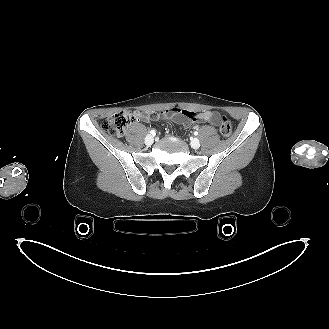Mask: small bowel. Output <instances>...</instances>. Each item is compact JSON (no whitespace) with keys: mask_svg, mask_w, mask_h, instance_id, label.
<instances>
[{"mask_svg":"<svg viewBox=\"0 0 329 329\" xmlns=\"http://www.w3.org/2000/svg\"><path fill=\"white\" fill-rule=\"evenodd\" d=\"M154 116L161 115L163 119H168L176 124L183 127H190L194 123H209L211 125L218 124V116L213 111H204L201 113L191 112L185 109H179L173 107L167 110L162 111L161 113H155ZM137 118L142 119L143 121L149 120V115L141 112L136 113Z\"/></svg>","mask_w":329,"mask_h":329,"instance_id":"1","label":"small bowel"}]
</instances>
